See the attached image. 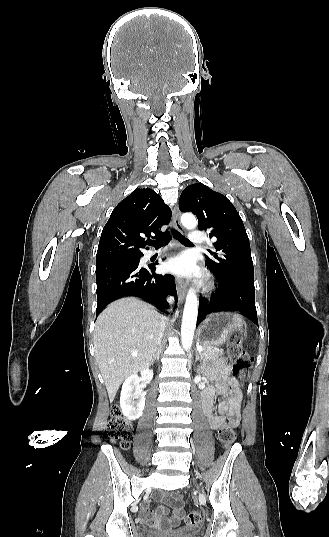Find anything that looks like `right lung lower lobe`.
Returning <instances> with one entry per match:
<instances>
[{"mask_svg":"<svg viewBox=\"0 0 329 537\" xmlns=\"http://www.w3.org/2000/svg\"><path fill=\"white\" fill-rule=\"evenodd\" d=\"M141 257L96 264V318L107 304L125 296L143 298L165 312L166 297L176 295L174 277L155 274V264L139 266Z\"/></svg>","mask_w":329,"mask_h":537,"instance_id":"98d812e1","label":"right lung lower lobe"}]
</instances>
